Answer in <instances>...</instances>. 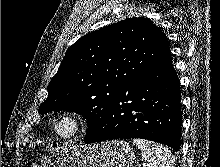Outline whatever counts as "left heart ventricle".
Here are the masks:
<instances>
[{"mask_svg":"<svg viewBox=\"0 0 220 167\" xmlns=\"http://www.w3.org/2000/svg\"><path fill=\"white\" fill-rule=\"evenodd\" d=\"M59 130L61 133L65 134V133H68L70 131V126L68 124H62L60 127H59Z\"/></svg>","mask_w":220,"mask_h":167,"instance_id":"obj_1","label":"left heart ventricle"}]
</instances>
